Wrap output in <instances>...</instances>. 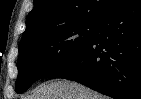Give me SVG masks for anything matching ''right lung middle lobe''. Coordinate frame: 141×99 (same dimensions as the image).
Instances as JSON below:
<instances>
[{
  "instance_id": "obj_1",
  "label": "right lung middle lobe",
  "mask_w": 141,
  "mask_h": 99,
  "mask_svg": "<svg viewBox=\"0 0 141 99\" xmlns=\"http://www.w3.org/2000/svg\"><path fill=\"white\" fill-rule=\"evenodd\" d=\"M97 21L77 22L19 44L17 93L66 66L92 39Z\"/></svg>"
}]
</instances>
